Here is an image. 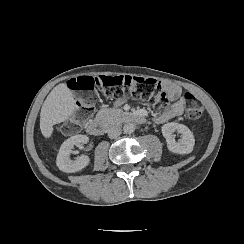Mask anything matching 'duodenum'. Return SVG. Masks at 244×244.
<instances>
[{
	"label": "duodenum",
	"instance_id": "obj_1",
	"mask_svg": "<svg viewBox=\"0 0 244 244\" xmlns=\"http://www.w3.org/2000/svg\"><path fill=\"white\" fill-rule=\"evenodd\" d=\"M124 123L143 124L146 119L142 114L127 113L119 118ZM116 124L113 119L92 120L87 123L86 131L93 136H102Z\"/></svg>",
	"mask_w": 244,
	"mask_h": 244
}]
</instances>
